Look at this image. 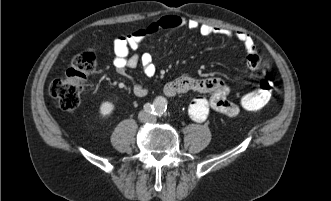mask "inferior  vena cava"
Here are the masks:
<instances>
[{
	"label": "inferior vena cava",
	"instance_id": "1",
	"mask_svg": "<svg viewBox=\"0 0 331 201\" xmlns=\"http://www.w3.org/2000/svg\"><path fill=\"white\" fill-rule=\"evenodd\" d=\"M138 119L141 122H154L156 120L153 115H151L150 113H147L145 111L139 112Z\"/></svg>",
	"mask_w": 331,
	"mask_h": 201
}]
</instances>
